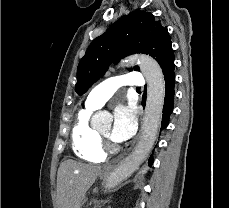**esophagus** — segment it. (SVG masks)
Returning <instances> with one entry per match:
<instances>
[{
	"mask_svg": "<svg viewBox=\"0 0 229 208\" xmlns=\"http://www.w3.org/2000/svg\"><path fill=\"white\" fill-rule=\"evenodd\" d=\"M141 130L139 131V134H140ZM112 168V165H109L108 167L104 168V169H111Z\"/></svg>",
	"mask_w": 229,
	"mask_h": 208,
	"instance_id": "34e87169",
	"label": "esophagus"
}]
</instances>
